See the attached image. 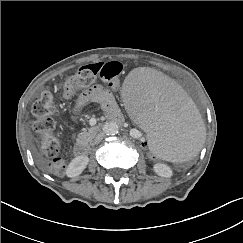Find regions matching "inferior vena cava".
I'll return each instance as SVG.
<instances>
[{
    "label": "inferior vena cava",
    "mask_w": 243,
    "mask_h": 243,
    "mask_svg": "<svg viewBox=\"0 0 243 243\" xmlns=\"http://www.w3.org/2000/svg\"><path fill=\"white\" fill-rule=\"evenodd\" d=\"M103 137H104V133H103V132L99 133V134L94 138V140H93V144H98V143H100V142L102 141Z\"/></svg>",
    "instance_id": "obj_1"
}]
</instances>
